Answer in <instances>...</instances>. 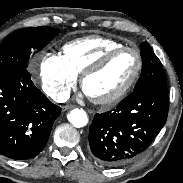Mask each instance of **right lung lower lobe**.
<instances>
[{
  "mask_svg": "<svg viewBox=\"0 0 183 183\" xmlns=\"http://www.w3.org/2000/svg\"><path fill=\"white\" fill-rule=\"evenodd\" d=\"M60 113L36 88L27 69L0 73V154L16 160L35 157Z\"/></svg>",
  "mask_w": 183,
  "mask_h": 183,
  "instance_id": "right-lung-lower-lobe-1",
  "label": "right lung lower lobe"
}]
</instances>
